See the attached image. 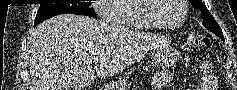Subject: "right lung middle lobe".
I'll use <instances>...</instances> for the list:
<instances>
[{"mask_svg":"<svg viewBox=\"0 0 237 90\" xmlns=\"http://www.w3.org/2000/svg\"><path fill=\"white\" fill-rule=\"evenodd\" d=\"M91 2L78 3H58V4H40L35 17L34 24H39L42 21L58 14H77L96 18V13L90 7Z\"/></svg>","mask_w":237,"mask_h":90,"instance_id":"obj_1","label":"right lung middle lobe"}]
</instances>
